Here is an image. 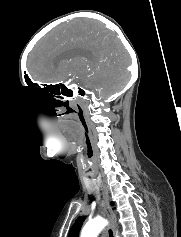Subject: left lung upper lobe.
I'll return each mask as SVG.
<instances>
[{"label": "left lung upper lobe", "instance_id": "1", "mask_svg": "<svg viewBox=\"0 0 181 237\" xmlns=\"http://www.w3.org/2000/svg\"><path fill=\"white\" fill-rule=\"evenodd\" d=\"M84 219H85V217H79L77 219L75 225L70 230L69 237H78L80 226H81V223Z\"/></svg>", "mask_w": 181, "mask_h": 237}]
</instances>
